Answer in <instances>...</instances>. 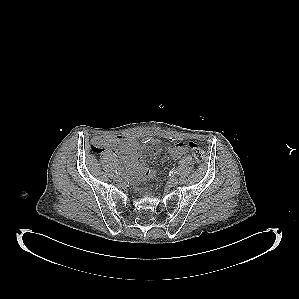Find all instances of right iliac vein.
Here are the masks:
<instances>
[{
  "label": "right iliac vein",
  "mask_w": 299,
  "mask_h": 299,
  "mask_svg": "<svg viewBox=\"0 0 299 299\" xmlns=\"http://www.w3.org/2000/svg\"><path fill=\"white\" fill-rule=\"evenodd\" d=\"M114 180H115L116 182H121V181H122V178H121L119 175H116V176H114Z\"/></svg>",
  "instance_id": "63e3f726"
}]
</instances>
